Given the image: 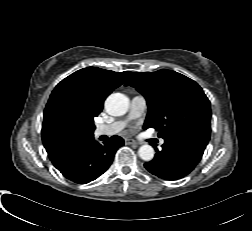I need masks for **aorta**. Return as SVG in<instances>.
Instances as JSON below:
<instances>
[{
    "label": "aorta",
    "mask_w": 252,
    "mask_h": 231,
    "mask_svg": "<svg viewBox=\"0 0 252 231\" xmlns=\"http://www.w3.org/2000/svg\"><path fill=\"white\" fill-rule=\"evenodd\" d=\"M129 99L122 93H112L105 101V109L109 115L122 116L128 111ZM139 157L144 161H151L155 151L148 144L142 145L138 150Z\"/></svg>",
    "instance_id": "obj_1"
}]
</instances>
